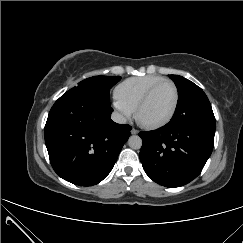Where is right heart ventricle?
Segmentation results:
<instances>
[{
	"label": "right heart ventricle",
	"instance_id": "right-heart-ventricle-1",
	"mask_svg": "<svg viewBox=\"0 0 243 243\" xmlns=\"http://www.w3.org/2000/svg\"><path fill=\"white\" fill-rule=\"evenodd\" d=\"M165 79L160 75H144L124 80L114 90L115 98L133 112L144 94L157 82Z\"/></svg>",
	"mask_w": 243,
	"mask_h": 243
}]
</instances>
